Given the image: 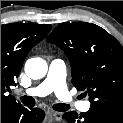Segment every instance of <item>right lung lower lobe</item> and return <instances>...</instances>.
<instances>
[{
	"instance_id": "1",
	"label": "right lung lower lobe",
	"mask_w": 123,
	"mask_h": 123,
	"mask_svg": "<svg viewBox=\"0 0 123 123\" xmlns=\"http://www.w3.org/2000/svg\"><path fill=\"white\" fill-rule=\"evenodd\" d=\"M44 117V111L39 108L18 105L1 109V123H41Z\"/></svg>"
}]
</instances>
